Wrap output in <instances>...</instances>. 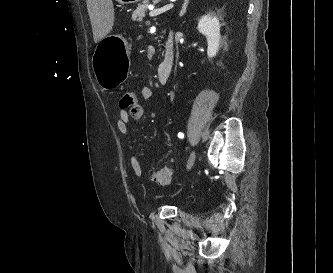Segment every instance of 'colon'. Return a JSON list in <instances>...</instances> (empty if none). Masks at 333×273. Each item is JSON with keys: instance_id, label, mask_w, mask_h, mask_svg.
I'll use <instances>...</instances> for the list:
<instances>
[{"instance_id": "colon-1", "label": "colon", "mask_w": 333, "mask_h": 273, "mask_svg": "<svg viewBox=\"0 0 333 273\" xmlns=\"http://www.w3.org/2000/svg\"><path fill=\"white\" fill-rule=\"evenodd\" d=\"M137 95L134 91H126L122 94L119 100L121 109H129L137 104ZM172 179L171 171L168 168L156 170L151 177V180L157 185H168Z\"/></svg>"}]
</instances>
